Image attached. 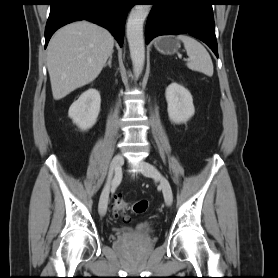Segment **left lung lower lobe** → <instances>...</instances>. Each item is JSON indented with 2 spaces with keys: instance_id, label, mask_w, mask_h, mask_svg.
<instances>
[{
  "instance_id": "1",
  "label": "left lung lower lobe",
  "mask_w": 278,
  "mask_h": 278,
  "mask_svg": "<svg viewBox=\"0 0 278 278\" xmlns=\"http://www.w3.org/2000/svg\"><path fill=\"white\" fill-rule=\"evenodd\" d=\"M214 0H151L146 43L159 35L188 33L206 43L218 57L213 18Z\"/></svg>"
}]
</instances>
